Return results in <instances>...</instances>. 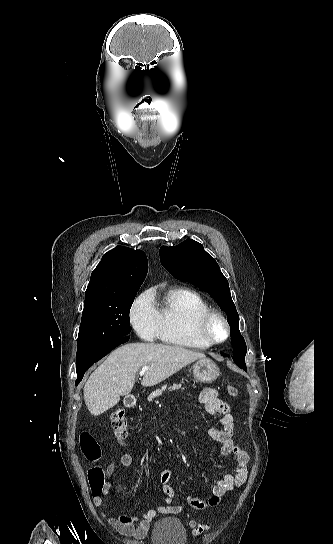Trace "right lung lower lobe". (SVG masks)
Instances as JSON below:
<instances>
[{"mask_svg": "<svg viewBox=\"0 0 333 544\" xmlns=\"http://www.w3.org/2000/svg\"><path fill=\"white\" fill-rule=\"evenodd\" d=\"M129 340V337L126 336V337H121V338H118L116 339L112 344H110L109 346H107L106 348L102 349L101 351H99L98 353H96L94 356H92L91 358H89L87 361H85L84 363H82L81 365L79 366H76V371H77V380H76V385H78L80 383V381L82 380L83 376H84V373L85 371L91 367L95 362L99 361L101 358H103L104 356H106L111 350H113L115 347H117L118 345L120 344H123L125 342H127Z\"/></svg>", "mask_w": 333, "mask_h": 544, "instance_id": "1", "label": "right lung lower lobe"}]
</instances>
